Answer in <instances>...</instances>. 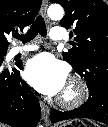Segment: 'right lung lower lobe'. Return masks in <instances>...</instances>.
Here are the masks:
<instances>
[{"label": "right lung lower lobe", "mask_w": 108, "mask_h": 127, "mask_svg": "<svg viewBox=\"0 0 108 127\" xmlns=\"http://www.w3.org/2000/svg\"><path fill=\"white\" fill-rule=\"evenodd\" d=\"M0 61V122L12 127H36L41 117L38 99L20 77L17 68H1Z\"/></svg>", "instance_id": "obj_1"}]
</instances>
